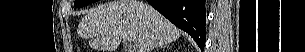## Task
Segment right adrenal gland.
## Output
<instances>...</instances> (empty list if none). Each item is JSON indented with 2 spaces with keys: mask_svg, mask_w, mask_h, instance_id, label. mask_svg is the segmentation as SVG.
<instances>
[{
  "mask_svg": "<svg viewBox=\"0 0 305 52\" xmlns=\"http://www.w3.org/2000/svg\"><path fill=\"white\" fill-rule=\"evenodd\" d=\"M168 47H169V45L164 44V45L158 46V47L156 48V51H158L159 49L168 48Z\"/></svg>",
  "mask_w": 305,
  "mask_h": 52,
  "instance_id": "obj_1",
  "label": "right adrenal gland"
}]
</instances>
